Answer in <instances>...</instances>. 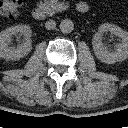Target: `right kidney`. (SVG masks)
<instances>
[{
	"label": "right kidney",
	"instance_id": "obj_1",
	"mask_svg": "<svg viewBox=\"0 0 128 128\" xmlns=\"http://www.w3.org/2000/svg\"><path fill=\"white\" fill-rule=\"evenodd\" d=\"M31 28L28 25H17L5 29L0 34V57L7 60H19L26 56L32 49ZM21 35L23 42L17 47L10 46L12 37Z\"/></svg>",
	"mask_w": 128,
	"mask_h": 128
}]
</instances>
